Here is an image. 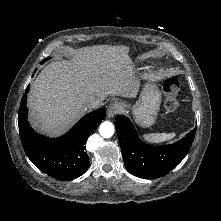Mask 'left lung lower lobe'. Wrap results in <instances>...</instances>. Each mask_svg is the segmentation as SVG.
I'll return each mask as SVG.
<instances>
[{
    "instance_id": "left-lung-lower-lobe-1",
    "label": "left lung lower lobe",
    "mask_w": 221,
    "mask_h": 221,
    "mask_svg": "<svg viewBox=\"0 0 221 221\" xmlns=\"http://www.w3.org/2000/svg\"><path fill=\"white\" fill-rule=\"evenodd\" d=\"M115 126L127 170L144 179L162 177L176 167L188 154L196 133L194 128L176 143L150 146L140 140L127 117L117 116Z\"/></svg>"
}]
</instances>
